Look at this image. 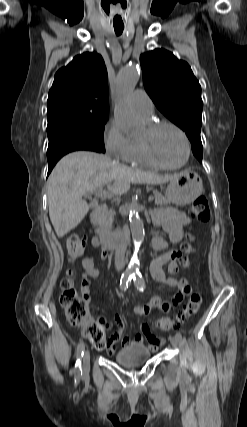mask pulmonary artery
Returning a JSON list of instances; mask_svg holds the SVG:
<instances>
[{
	"label": "pulmonary artery",
	"mask_w": 247,
	"mask_h": 427,
	"mask_svg": "<svg viewBox=\"0 0 247 427\" xmlns=\"http://www.w3.org/2000/svg\"><path fill=\"white\" fill-rule=\"evenodd\" d=\"M130 104L134 112L144 120H150L154 105L149 95L143 89H137L134 91L130 98Z\"/></svg>",
	"instance_id": "pulmonary-artery-1"
}]
</instances>
